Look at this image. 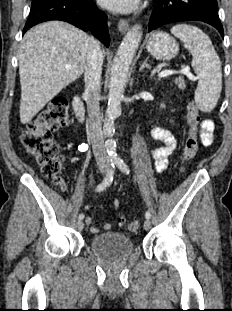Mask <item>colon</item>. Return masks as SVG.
<instances>
[{"instance_id":"1","label":"colon","mask_w":232,"mask_h":311,"mask_svg":"<svg viewBox=\"0 0 232 311\" xmlns=\"http://www.w3.org/2000/svg\"><path fill=\"white\" fill-rule=\"evenodd\" d=\"M186 121L188 136L182 150V160L189 162L195 157L199 145L197 128L200 123V114L193 102L187 106ZM68 123L67 100L65 97L58 96L39 112L21 134L26 151L40 166L43 175L52 179L60 187L65 184V177L62 173L63 156L60 154L52 133ZM127 228L131 232H137L139 226L136 221H131L127 224Z\"/></svg>"}]
</instances>
